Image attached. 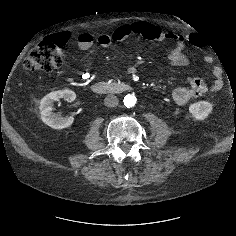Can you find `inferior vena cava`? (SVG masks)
<instances>
[{
  "mask_svg": "<svg viewBox=\"0 0 236 236\" xmlns=\"http://www.w3.org/2000/svg\"><path fill=\"white\" fill-rule=\"evenodd\" d=\"M119 103L118 98L115 95H108L104 99V105L107 107H115Z\"/></svg>",
  "mask_w": 236,
  "mask_h": 236,
  "instance_id": "602c4592",
  "label": "inferior vena cava"
}]
</instances>
